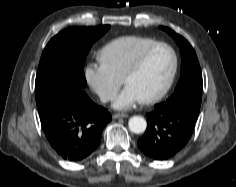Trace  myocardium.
Returning <instances> with one entry per match:
<instances>
[{
	"instance_id": "obj_1",
	"label": "myocardium",
	"mask_w": 236,
	"mask_h": 187,
	"mask_svg": "<svg viewBox=\"0 0 236 187\" xmlns=\"http://www.w3.org/2000/svg\"><path fill=\"white\" fill-rule=\"evenodd\" d=\"M158 48H166L170 51L172 55V68L169 74V77L167 79V82L163 86V88L157 92L156 94L147 97L145 99H142L141 102L144 104H151L160 101L162 98L165 97V95L169 92L171 89L176 75L178 71V66H179V58L176 50L168 43L166 42H155L152 45L148 46L144 50H142L139 55L136 57V59L133 61V63L130 65V67L126 70L125 74L122 77V81L124 84H126V81L134 76L136 73L140 71L142 68L143 64L145 63L147 57L152 53L154 50Z\"/></svg>"
}]
</instances>
